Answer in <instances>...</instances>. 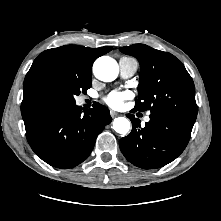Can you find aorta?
<instances>
[{
	"label": "aorta",
	"instance_id": "aorta-1",
	"mask_svg": "<svg viewBox=\"0 0 221 221\" xmlns=\"http://www.w3.org/2000/svg\"><path fill=\"white\" fill-rule=\"evenodd\" d=\"M96 78L104 82H111L118 76L119 68L117 62L107 56L98 58L93 65ZM113 129L119 134H126L130 130V121L125 117L115 118Z\"/></svg>",
	"mask_w": 221,
	"mask_h": 221
}]
</instances>
